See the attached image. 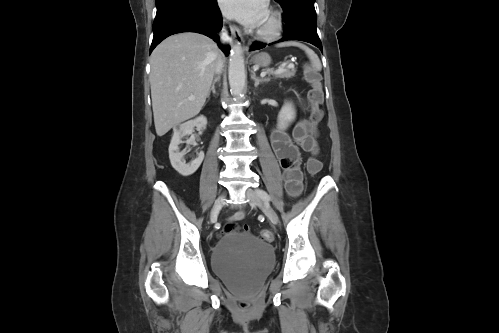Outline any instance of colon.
<instances>
[{
    "mask_svg": "<svg viewBox=\"0 0 499 333\" xmlns=\"http://www.w3.org/2000/svg\"><path fill=\"white\" fill-rule=\"evenodd\" d=\"M305 79L311 85V88L308 92V101H309L311 108H312V111L310 114V120H311V123L316 127L320 123V121L322 120V117H323L322 110L320 109V105L323 102V90H322V85H321V78H320V75L314 69L306 68ZM305 166H306L307 172L310 175H316L322 169V163L315 157L308 158ZM240 230H243L244 232H248L249 228L246 225L243 226L242 228H240L235 223H228L224 228L223 234L239 232ZM260 237L263 240L268 241V242L273 240L272 233L267 229H263L260 231ZM241 305H242V307H246L247 303L243 302Z\"/></svg>",
    "mask_w": 499,
    "mask_h": 333,
    "instance_id": "colon-1",
    "label": "colon"
}]
</instances>
